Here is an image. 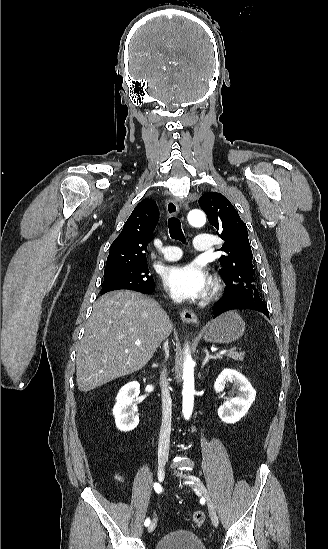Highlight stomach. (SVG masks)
Here are the masks:
<instances>
[{
  "label": "stomach",
  "instance_id": "obj_1",
  "mask_svg": "<svg viewBox=\"0 0 328 549\" xmlns=\"http://www.w3.org/2000/svg\"><path fill=\"white\" fill-rule=\"evenodd\" d=\"M245 333V323L237 311H226L210 321L203 335L207 343H232Z\"/></svg>",
  "mask_w": 328,
  "mask_h": 549
}]
</instances>
